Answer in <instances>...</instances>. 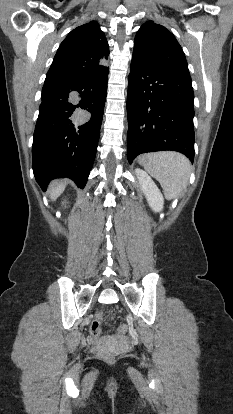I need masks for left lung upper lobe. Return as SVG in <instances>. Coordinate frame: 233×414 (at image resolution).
<instances>
[{"label":"left lung upper lobe","mask_w":233,"mask_h":414,"mask_svg":"<svg viewBox=\"0 0 233 414\" xmlns=\"http://www.w3.org/2000/svg\"><path fill=\"white\" fill-rule=\"evenodd\" d=\"M132 57L164 71L189 75L185 54L174 35L153 21L137 31Z\"/></svg>","instance_id":"1"}]
</instances>
